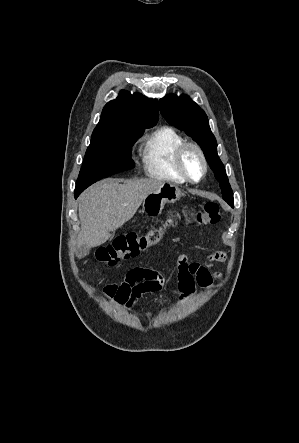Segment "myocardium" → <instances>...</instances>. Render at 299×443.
I'll return each mask as SVG.
<instances>
[{
    "mask_svg": "<svg viewBox=\"0 0 299 443\" xmlns=\"http://www.w3.org/2000/svg\"><path fill=\"white\" fill-rule=\"evenodd\" d=\"M190 150H194L197 153V155L201 161V164H202V172H201V175L197 179H194L190 176V174L188 173L186 166H185V157ZM176 167H177L179 173L181 174V176L187 182H190V183L201 182L205 178L207 171H208V162H207L206 156H205L204 151L201 148V146L195 142H185L184 144H182L176 153Z\"/></svg>",
    "mask_w": 299,
    "mask_h": 443,
    "instance_id": "myocardium-1",
    "label": "myocardium"
}]
</instances>
